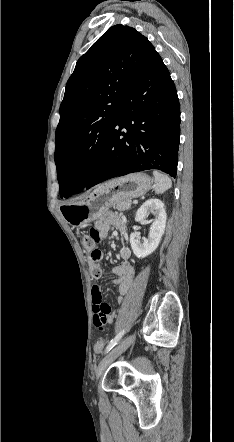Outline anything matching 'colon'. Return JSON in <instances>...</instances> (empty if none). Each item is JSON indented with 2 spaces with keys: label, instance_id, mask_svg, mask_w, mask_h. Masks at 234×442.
Masks as SVG:
<instances>
[{
  "label": "colon",
  "instance_id": "5ec220e1",
  "mask_svg": "<svg viewBox=\"0 0 234 442\" xmlns=\"http://www.w3.org/2000/svg\"><path fill=\"white\" fill-rule=\"evenodd\" d=\"M99 240L100 239L98 236V231L95 228H90L83 237L84 247L90 253V257L93 259V263L90 266V272L92 277L96 279L99 278L102 274L101 268L97 262L101 254L100 251L96 248V244ZM92 303L93 314H107L111 309L110 305L103 301L101 291L97 288H94L92 290ZM103 345V340H96L94 347L95 356H102Z\"/></svg>",
  "mask_w": 234,
  "mask_h": 442
}]
</instances>
